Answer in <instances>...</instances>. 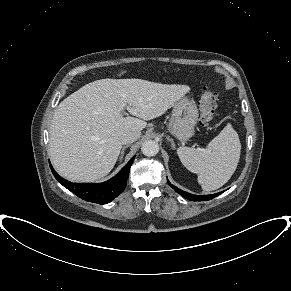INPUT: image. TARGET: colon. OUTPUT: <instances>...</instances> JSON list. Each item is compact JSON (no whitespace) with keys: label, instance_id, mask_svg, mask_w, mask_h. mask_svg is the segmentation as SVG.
<instances>
[{"label":"colon","instance_id":"5ec220e1","mask_svg":"<svg viewBox=\"0 0 291 291\" xmlns=\"http://www.w3.org/2000/svg\"><path fill=\"white\" fill-rule=\"evenodd\" d=\"M218 94L209 87H203L198 101L200 111V123L207 126L215 121L217 117Z\"/></svg>","mask_w":291,"mask_h":291}]
</instances>
